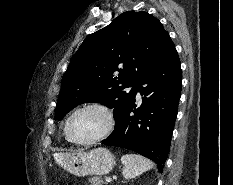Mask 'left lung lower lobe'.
<instances>
[{"mask_svg": "<svg viewBox=\"0 0 233 185\" xmlns=\"http://www.w3.org/2000/svg\"><path fill=\"white\" fill-rule=\"evenodd\" d=\"M181 86L180 60L169 38L136 83L135 95L139 91L144 96L142 105L136 109L134 98L102 144L135 151L154 161L162 172L170 150Z\"/></svg>", "mask_w": 233, "mask_h": 185, "instance_id": "0a47b994", "label": "left lung lower lobe"}]
</instances>
